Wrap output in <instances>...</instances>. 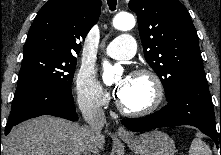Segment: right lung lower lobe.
<instances>
[{"instance_id":"right-lung-lower-lobe-1","label":"right lung lower lobe","mask_w":221,"mask_h":155,"mask_svg":"<svg viewBox=\"0 0 221 155\" xmlns=\"http://www.w3.org/2000/svg\"><path fill=\"white\" fill-rule=\"evenodd\" d=\"M41 115H53L71 121L77 120L78 115L75 110L72 94L39 83L30 84L25 87L13 99L11 112L5 127V135L10 132L13 126L20 122Z\"/></svg>"}]
</instances>
